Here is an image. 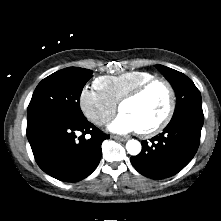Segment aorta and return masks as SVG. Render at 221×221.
Returning <instances> with one entry per match:
<instances>
[{"label": "aorta", "instance_id": "obj_1", "mask_svg": "<svg viewBox=\"0 0 221 221\" xmlns=\"http://www.w3.org/2000/svg\"><path fill=\"white\" fill-rule=\"evenodd\" d=\"M126 149L130 155L136 156L141 152V144L139 141L132 139L126 143Z\"/></svg>", "mask_w": 221, "mask_h": 221}]
</instances>
